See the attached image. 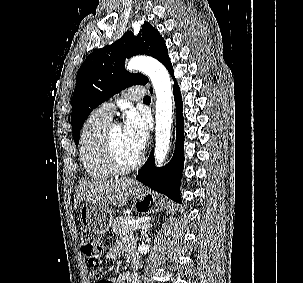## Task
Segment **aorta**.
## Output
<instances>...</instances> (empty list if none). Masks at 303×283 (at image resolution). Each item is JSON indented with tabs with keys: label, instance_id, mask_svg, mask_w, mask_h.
Returning <instances> with one entry per match:
<instances>
[{
	"label": "aorta",
	"instance_id": "obj_1",
	"mask_svg": "<svg viewBox=\"0 0 303 283\" xmlns=\"http://www.w3.org/2000/svg\"><path fill=\"white\" fill-rule=\"evenodd\" d=\"M128 70H139L152 81L156 94L155 163L161 166L167 156L172 124V87L167 69L156 59L146 56L133 57Z\"/></svg>",
	"mask_w": 303,
	"mask_h": 283
}]
</instances>
